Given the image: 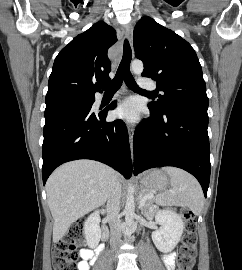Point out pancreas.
I'll use <instances>...</instances> for the list:
<instances>
[{
    "instance_id": "pancreas-1",
    "label": "pancreas",
    "mask_w": 242,
    "mask_h": 270,
    "mask_svg": "<svg viewBox=\"0 0 242 270\" xmlns=\"http://www.w3.org/2000/svg\"><path fill=\"white\" fill-rule=\"evenodd\" d=\"M144 195H152V193L143 191L142 196H144ZM145 204H146L148 207L151 206V205H152V200H151V199H148V200L145 202Z\"/></svg>"
}]
</instances>
